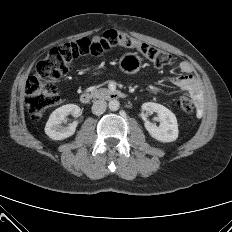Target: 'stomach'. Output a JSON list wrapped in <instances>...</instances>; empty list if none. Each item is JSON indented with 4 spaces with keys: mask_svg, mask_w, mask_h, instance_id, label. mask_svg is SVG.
Returning <instances> with one entry per match:
<instances>
[{
    "mask_svg": "<svg viewBox=\"0 0 232 232\" xmlns=\"http://www.w3.org/2000/svg\"><path fill=\"white\" fill-rule=\"evenodd\" d=\"M142 58L137 53H126L119 61V67L126 73H136L140 70Z\"/></svg>",
    "mask_w": 232,
    "mask_h": 232,
    "instance_id": "stomach-1",
    "label": "stomach"
}]
</instances>
